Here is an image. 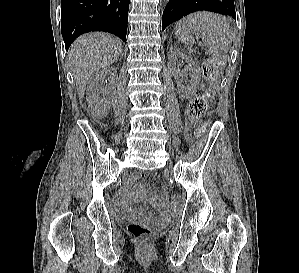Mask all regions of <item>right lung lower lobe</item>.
<instances>
[{
    "instance_id": "obj_1",
    "label": "right lung lower lobe",
    "mask_w": 299,
    "mask_h": 273,
    "mask_svg": "<svg viewBox=\"0 0 299 273\" xmlns=\"http://www.w3.org/2000/svg\"><path fill=\"white\" fill-rule=\"evenodd\" d=\"M130 0H61V32L66 50L81 34L105 31L126 43Z\"/></svg>"
}]
</instances>
